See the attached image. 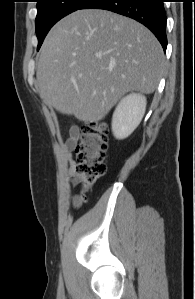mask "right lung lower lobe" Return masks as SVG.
Returning <instances> with one entry per match:
<instances>
[{
	"label": "right lung lower lobe",
	"instance_id": "right-lung-lower-lobe-1",
	"mask_svg": "<svg viewBox=\"0 0 195 299\" xmlns=\"http://www.w3.org/2000/svg\"><path fill=\"white\" fill-rule=\"evenodd\" d=\"M164 0H88L80 9H105L145 25L167 47Z\"/></svg>",
	"mask_w": 195,
	"mask_h": 299
}]
</instances>
